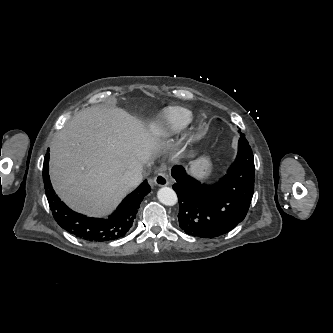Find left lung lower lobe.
Returning <instances> with one entry per match:
<instances>
[{"mask_svg": "<svg viewBox=\"0 0 333 333\" xmlns=\"http://www.w3.org/2000/svg\"><path fill=\"white\" fill-rule=\"evenodd\" d=\"M180 228L201 238H214L235 228L246 216L254 193L255 165L252 149L241 134L238 154L227 173L213 184L189 176L174 166Z\"/></svg>", "mask_w": 333, "mask_h": 333, "instance_id": "1", "label": "left lung lower lobe"}]
</instances>
